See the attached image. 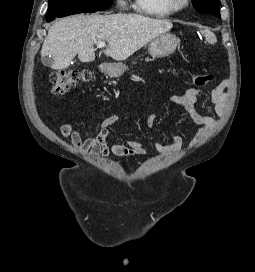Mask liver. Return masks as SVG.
<instances>
[{
	"mask_svg": "<svg viewBox=\"0 0 255 272\" xmlns=\"http://www.w3.org/2000/svg\"><path fill=\"white\" fill-rule=\"evenodd\" d=\"M172 27L168 20L139 14L68 16L57 20L49 28L41 56H49L51 68L61 70L69 67L76 55L81 62L94 61V44L106 41L108 46L104 54L123 61Z\"/></svg>",
	"mask_w": 255,
	"mask_h": 272,
	"instance_id": "liver-1",
	"label": "liver"
}]
</instances>
